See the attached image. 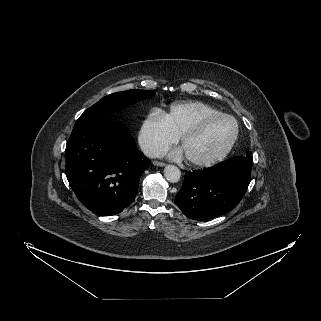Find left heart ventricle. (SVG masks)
Masks as SVG:
<instances>
[{"label": "left heart ventricle", "instance_id": "obj_1", "mask_svg": "<svg viewBox=\"0 0 321 321\" xmlns=\"http://www.w3.org/2000/svg\"><path fill=\"white\" fill-rule=\"evenodd\" d=\"M234 132V124L228 119L208 123L197 134L182 144L186 157L207 160L215 157L228 143Z\"/></svg>", "mask_w": 321, "mask_h": 321}]
</instances>
